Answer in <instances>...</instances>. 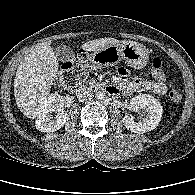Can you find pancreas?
I'll return each mask as SVG.
<instances>
[{
    "mask_svg": "<svg viewBox=\"0 0 195 195\" xmlns=\"http://www.w3.org/2000/svg\"><path fill=\"white\" fill-rule=\"evenodd\" d=\"M91 85H92V86H97L98 83H97L96 81L93 80V81L91 82Z\"/></svg>",
    "mask_w": 195,
    "mask_h": 195,
    "instance_id": "obj_1",
    "label": "pancreas"
}]
</instances>
